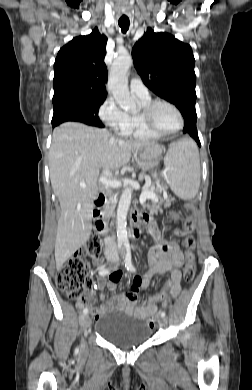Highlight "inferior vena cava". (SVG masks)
<instances>
[{"mask_svg":"<svg viewBox=\"0 0 252 390\" xmlns=\"http://www.w3.org/2000/svg\"><path fill=\"white\" fill-rule=\"evenodd\" d=\"M103 174L111 177V172L109 170H104ZM104 243H105V252L107 253H116L117 251V244L115 239L112 236H106L104 238Z\"/></svg>","mask_w":252,"mask_h":390,"instance_id":"1","label":"inferior vena cava"}]
</instances>
